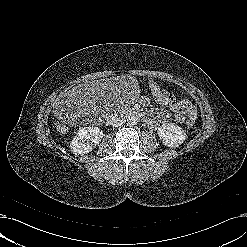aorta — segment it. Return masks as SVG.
Wrapping results in <instances>:
<instances>
[{
    "instance_id": "1",
    "label": "aorta",
    "mask_w": 247,
    "mask_h": 247,
    "mask_svg": "<svg viewBox=\"0 0 247 247\" xmlns=\"http://www.w3.org/2000/svg\"><path fill=\"white\" fill-rule=\"evenodd\" d=\"M127 122L129 125H137V123L139 122V119L135 115H130L127 119Z\"/></svg>"
}]
</instances>
